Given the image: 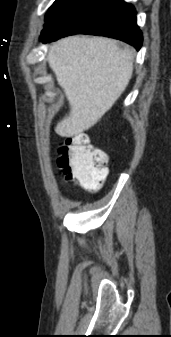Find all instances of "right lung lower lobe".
<instances>
[{
  "instance_id": "right-lung-lower-lobe-1",
  "label": "right lung lower lobe",
  "mask_w": 171,
  "mask_h": 337,
  "mask_svg": "<svg viewBox=\"0 0 171 337\" xmlns=\"http://www.w3.org/2000/svg\"><path fill=\"white\" fill-rule=\"evenodd\" d=\"M73 34H93L116 38L142 46L135 8L123 0H74L58 17L45 25L40 39L55 41Z\"/></svg>"
}]
</instances>
